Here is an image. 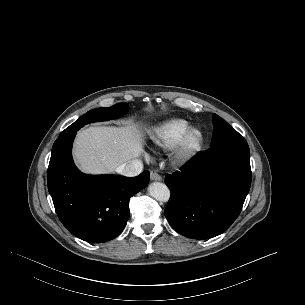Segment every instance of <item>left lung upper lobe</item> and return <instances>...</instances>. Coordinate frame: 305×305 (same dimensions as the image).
Returning a JSON list of instances; mask_svg holds the SVG:
<instances>
[{"label": "left lung upper lobe", "instance_id": "left-lung-upper-lobe-1", "mask_svg": "<svg viewBox=\"0 0 305 305\" xmlns=\"http://www.w3.org/2000/svg\"><path fill=\"white\" fill-rule=\"evenodd\" d=\"M213 137L208 151L239 149L249 151L245 139L217 114H213Z\"/></svg>", "mask_w": 305, "mask_h": 305}]
</instances>
